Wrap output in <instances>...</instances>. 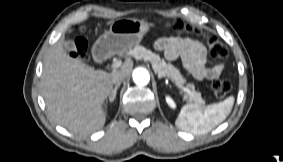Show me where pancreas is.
<instances>
[{"mask_svg":"<svg viewBox=\"0 0 283 162\" xmlns=\"http://www.w3.org/2000/svg\"><path fill=\"white\" fill-rule=\"evenodd\" d=\"M131 53L136 59L149 61L155 72L171 79L177 85L182 86L185 83V79L179 69L174 67L171 63H166L164 59H161L158 54L153 53L151 50H147L143 46H136ZM187 90L191 101L197 105L204 103L201 94L194 91L192 84L188 85Z\"/></svg>","mask_w":283,"mask_h":162,"instance_id":"pancreas-1","label":"pancreas"}]
</instances>
